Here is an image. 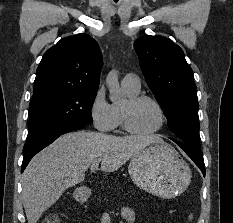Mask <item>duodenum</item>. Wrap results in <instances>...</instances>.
<instances>
[{
    "instance_id": "1",
    "label": "duodenum",
    "mask_w": 233,
    "mask_h": 223,
    "mask_svg": "<svg viewBox=\"0 0 233 223\" xmlns=\"http://www.w3.org/2000/svg\"><path fill=\"white\" fill-rule=\"evenodd\" d=\"M89 197H90L89 191L81 189V190L76 192L75 201L78 204H84V203H86L88 201Z\"/></svg>"
}]
</instances>
